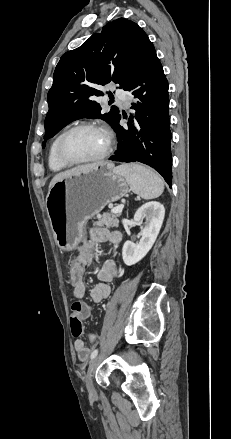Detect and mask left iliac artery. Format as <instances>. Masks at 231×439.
<instances>
[{
	"label": "left iliac artery",
	"mask_w": 231,
	"mask_h": 439,
	"mask_svg": "<svg viewBox=\"0 0 231 439\" xmlns=\"http://www.w3.org/2000/svg\"><path fill=\"white\" fill-rule=\"evenodd\" d=\"M97 354H98V349H95V350L91 353L90 358L93 359L94 357L97 356Z\"/></svg>",
	"instance_id": "left-iliac-artery-1"
}]
</instances>
